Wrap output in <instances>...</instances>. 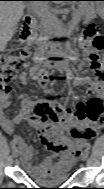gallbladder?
Returning <instances> with one entry per match:
<instances>
[{"mask_svg": "<svg viewBox=\"0 0 104 189\" xmlns=\"http://www.w3.org/2000/svg\"><path fill=\"white\" fill-rule=\"evenodd\" d=\"M25 8H30V5H29V4H26V5H25Z\"/></svg>", "mask_w": 104, "mask_h": 189, "instance_id": "obj_1", "label": "gallbladder"}]
</instances>
